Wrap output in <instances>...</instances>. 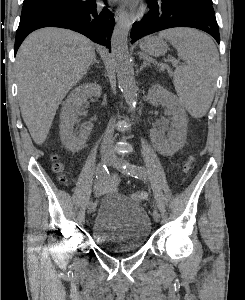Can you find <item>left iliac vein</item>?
<instances>
[{
    "label": "left iliac vein",
    "mask_w": 245,
    "mask_h": 300,
    "mask_svg": "<svg viewBox=\"0 0 245 300\" xmlns=\"http://www.w3.org/2000/svg\"><path fill=\"white\" fill-rule=\"evenodd\" d=\"M109 164L112 165L113 167H115L116 169H118L119 171H122L128 175H131L130 170H131L132 164L130 162H128L127 160L120 158V157L116 156L115 154H111ZM124 165L127 166V170H125V171H123ZM153 218L156 222H159V220H160V214L156 209H154V211H153Z\"/></svg>",
    "instance_id": "1"
}]
</instances>
